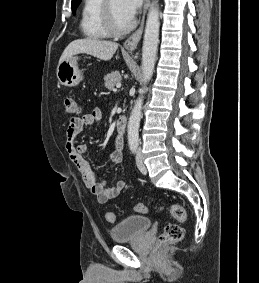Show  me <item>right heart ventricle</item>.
Instances as JSON below:
<instances>
[{
    "mask_svg": "<svg viewBox=\"0 0 259 283\" xmlns=\"http://www.w3.org/2000/svg\"><path fill=\"white\" fill-rule=\"evenodd\" d=\"M103 0H84L80 27L83 34L90 39H104L110 36L102 19Z\"/></svg>",
    "mask_w": 259,
    "mask_h": 283,
    "instance_id": "1",
    "label": "right heart ventricle"
}]
</instances>
